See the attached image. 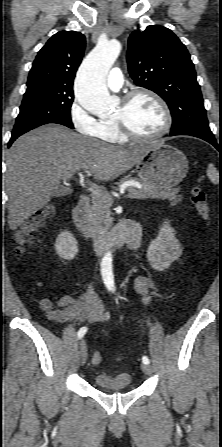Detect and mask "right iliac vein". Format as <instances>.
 Listing matches in <instances>:
<instances>
[{"instance_id": "63e3f726", "label": "right iliac vein", "mask_w": 222, "mask_h": 447, "mask_svg": "<svg viewBox=\"0 0 222 447\" xmlns=\"http://www.w3.org/2000/svg\"><path fill=\"white\" fill-rule=\"evenodd\" d=\"M87 344L86 341L84 339H82L80 341V346H79V356H80V362L83 365L86 360H87Z\"/></svg>"}]
</instances>
